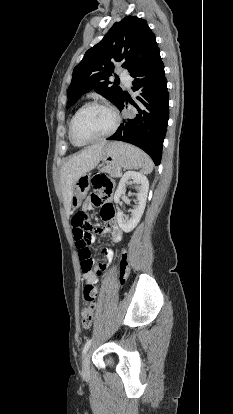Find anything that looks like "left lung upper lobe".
<instances>
[{
	"mask_svg": "<svg viewBox=\"0 0 233 414\" xmlns=\"http://www.w3.org/2000/svg\"><path fill=\"white\" fill-rule=\"evenodd\" d=\"M159 50L154 33L145 20L126 16L116 22L104 38L89 49L74 68L67 90L68 105L72 106L83 94L95 90L116 106L124 98L118 86H111L109 77L117 62L132 76L141 70Z\"/></svg>",
	"mask_w": 233,
	"mask_h": 414,
	"instance_id": "5c2ea615",
	"label": "left lung upper lobe"
}]
</instances>
